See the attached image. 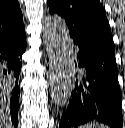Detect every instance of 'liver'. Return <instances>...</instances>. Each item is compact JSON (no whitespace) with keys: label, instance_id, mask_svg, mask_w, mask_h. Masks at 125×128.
I'll return each instance as SVG.
<instances>
[{"label":"liver","instance_id":"1","mask_svg":"<svg viewBox=\"0 0 125 128\" xmlns=\"http://www.w3.org/2000/svg\"><path fill=\"white\" fill-rule=\"evenodd\" d=\"M8 97V92L0 83V128H12V125L9 121Z\"/></svg>","mask_w":125,"mask_h":128}]
</instances>
